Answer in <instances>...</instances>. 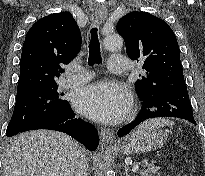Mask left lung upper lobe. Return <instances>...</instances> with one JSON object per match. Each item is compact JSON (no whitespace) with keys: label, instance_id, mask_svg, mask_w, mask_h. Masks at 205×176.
Masks as SVG:
<instances>
[{"label":"left lung upper lobe","instance_id":"obj_1","mask_svg":"<svg viewBox=\"0 0 205 176\" xmlns=\"http://www.w3.org/2000/svg\"><path fill=\"white\" fill-rule=\"evenodd\" d=\"M130 59L143 62L145 76L136 81L141 99L170 84H185L179 46L168 24L147 12H131L117 23Z\"/></svg>","mask_w":205,"mask_h":176}]
</instances>
